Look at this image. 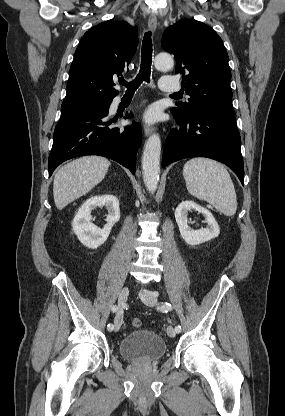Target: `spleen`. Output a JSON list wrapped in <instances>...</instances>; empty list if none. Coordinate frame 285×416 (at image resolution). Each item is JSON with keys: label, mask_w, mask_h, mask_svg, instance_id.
<instances>
[{"label": "spleen", "mask_w": 285, "mask_h": 416, "mask_svg": "<svg viewBox=\"0 0 285 416\" xmlns=\"http://www.w3.org/2000/svg\"><path fill=\"white\" fill-rule=\"evenodd\" d=\"M183 176L191 196L209 202L224 216L236 214L237 196L225 166L208 158H193L184 164Z\"/></svg>", "instance_id": "spleen-1"}]
</instances>
